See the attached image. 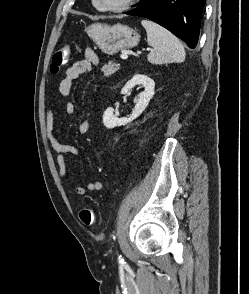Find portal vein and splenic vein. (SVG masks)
I'll return each mask as SVG.
<instances>
[{"label":"portal vein and splenic vein","instance_id":"18ae733b","mask_svg":"<svg viewBox=\"0 0 249 294\" xmlns=\"http://www.w3.org/2000/svg\"><path fill=\"white\" fill-rule=\"evenodd\" d=\"M128 58V55H121V59L125 60Z\"/></svg>","mask_w":249,"mask_h":294}]
</instances>
